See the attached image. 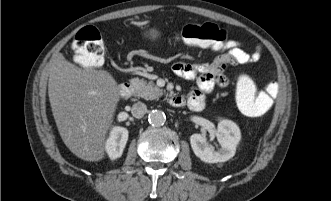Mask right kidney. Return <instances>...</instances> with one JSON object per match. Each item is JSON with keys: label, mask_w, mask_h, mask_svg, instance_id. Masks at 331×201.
<instances>
[{"label": "right kidney", "mask_w": 331, "mask_h": 201, "mask_svg": "<svg viewBox=\"0 0 331 201\" xmlns=\"http://www.w3.org/2000/svg\"><path fill=\"white\" fill-rule=\"evenodd\" d=\"M128 140V130L123 127H114L106 141L105 149L109 157L114 160L121 157Z\"/></svg>", "instance_id": "ca27d5eb"}]
</instances>
